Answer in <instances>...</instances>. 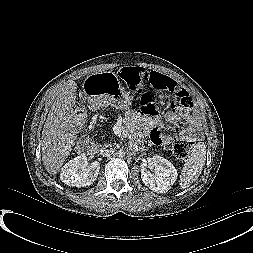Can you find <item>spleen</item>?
Masks as SVG:
<instances>
[{
	"label": "spleen",
	"instance_id": "obj_1",
	"mask_svg": "<svg viewBox=\"0 0 253 253\" xmlns=\"http://www.w3.org/2000/svg\"><path fill=\"white\" fill-rule=\"evenodd\" d=\"M206 160V145L197 143L191 150L190 156L185 161L184 167L180 175V186L186 188L193 183L201 174Z\"/></svg>",
	"mask_w": 253,
	"mask_h": 253
}]
</instances>
